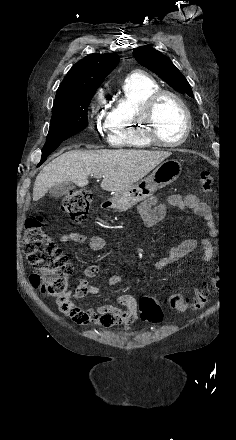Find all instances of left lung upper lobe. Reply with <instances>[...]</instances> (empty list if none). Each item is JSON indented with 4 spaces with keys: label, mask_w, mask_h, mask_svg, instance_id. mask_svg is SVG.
Segmentation results:
<instances>
[{
    "label": "left lung upper lobe",
    "mask_w": 236,
    "mask_h": 440,
    "mask_svg": "<svg viewBox=\"0 0 236 440\" xmlns=\"http://www.w3.org/2000/svg\"><path fill=\"white\" fill-rule=\"evenodd\" d=\"M137 62L157 74L178 92L193 97L192 89L183 74L172 61L150 46H141L133 50Z\"/></svg>",
    "instance_id": "1"
}]
</instances>
